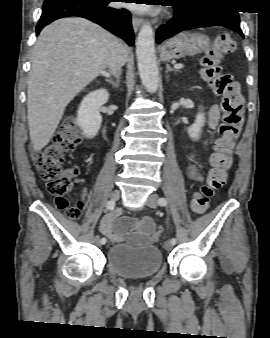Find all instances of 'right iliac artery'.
Masks as SVG:
<instances>
[{"label": "right iliac artery", "instance_id": "obj_1", "mask_svg": "<svg viewBox=\"0 0 270 338\" xmlns=\"http://www.w3.org/2000/svg\"><path fill=\"white\" fill-rule=\"evenodd\" d=\"M114 206H115V200H110V201H108V203H107V209L108 210H112V209H114ZM106 238H102L101 240H100V243L101 244H105L106 243Z\"/></svg>", "mask_w": 270, "mask_h": 338}]
</instances>
